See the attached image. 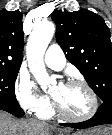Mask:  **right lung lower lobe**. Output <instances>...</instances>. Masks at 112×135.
Here are the masks:
<instances>
[{
	"label": "right lung lower lobe",
	"mask_w": 112,
	"mask_h": 135,
	"mask_svg": "<svg viewBox=\"0 0 112 135\" xmlns=\"http://www.w3.org/2000/svg\"><path fill=\"white\" fill-rule=\"evenodd\" d=\"M0 110H4L6 112H9L15 116H23L24 112L18 105H12V104H6V103H0Z\"/></svg>",
	"instance_id": "obj_1"
}]
</instances>
